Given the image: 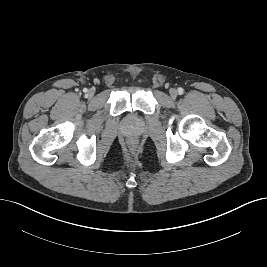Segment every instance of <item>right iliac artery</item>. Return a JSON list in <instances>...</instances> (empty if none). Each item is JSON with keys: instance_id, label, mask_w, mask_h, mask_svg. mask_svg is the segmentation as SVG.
<instances>
[{"instance_id": "82829eb1", "label": "right iliac artery", "mask_w": 267, "mask_h": 267, "mask_svg": "<svg viewBox=\"0 0 267 267\" xmlns=\"http://www.w3.org/2000/svg\"><path fill=\"white\" fill-rule=\"evenodd\" d=\"M84 92H87V89H84Z\"/></svg>"}]
</instances>
